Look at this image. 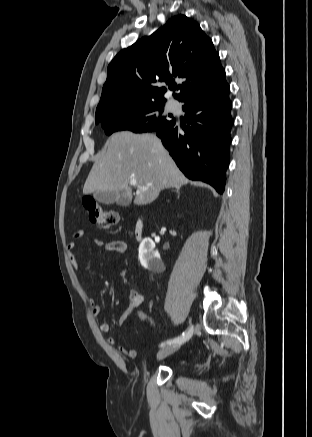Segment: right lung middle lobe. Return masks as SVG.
<instances>
[{
  "instance_id": "dd1d6c3e",
  "label": "right lung middle lobe",
  "mask_w": 312,
  "mask_h": 437,
  "mask_svg": "<svg viewBox=\"0 0 312 437\" xmlns=\"http://www.w3.org/2000/svg\"><path fill=\"white\" fill-rule=\"evenodd\" d=\"M163 107L164 101L125 106L97 119L96 124L101 123L107 135L125 130L134 133L158 131L175 121L163 113Z\"/></svg>"
}]
</instances>
